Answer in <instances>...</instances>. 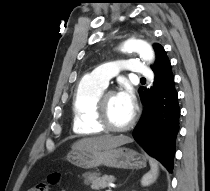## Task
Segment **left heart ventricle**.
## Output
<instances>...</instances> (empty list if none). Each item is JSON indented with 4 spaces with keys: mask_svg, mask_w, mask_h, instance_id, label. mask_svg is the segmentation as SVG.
<instances>
[{
    "mask_svg": "<svg viewBox=\"0 0 210 191\" xmlns=\"http://www.w3.org/2000/svg\"><path fill=\"white\" fill-rule=\"evenodd\" d=\"M107 112L111 124L121 127L129 122L133 111L118 99L117 94H111L107 97Z\"/></svg>",
    "mask_w": 210,
    "mask_h": 191,
    "instance_id": "1",
    "label": "left heart ventricle"
}]
</instances>
